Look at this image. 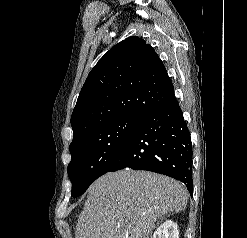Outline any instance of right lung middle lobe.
Masks as SVG:
<instances>
[{"label":"right lung middle lobe","instance_id":"dd1d6c3e","mask_svg":"<svg viewBox=\"0 0 247 238\" xmlns=\"http://www.w3.org/2000/svg\"><path fill=\"white\" fill-rule=\"evenodd\" d=\"M143 116L126 115L97 126L70 144L68 176L71 196L82 195L90 184L105 174L127 143Z\"/></svg>","mask_w":247,"mask_h":238}]
</instances>
